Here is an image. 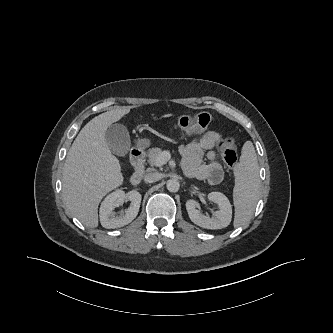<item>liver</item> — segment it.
Segmentation results:
<instances>
[{"mask_svg": "<svg viewBox=\"0 0 333 333\" xmlns=\"http://www.w3.org/2000/svg\"><path fill=\"white\" fill-rule=\"evenodd\" d=\"M130 112L117 107L90 120L79 132L63 167L62 191L68 210L84 225L98 226V205L102 198L122 185L119 160L111 153L107 128Z\"/></svg>", "mask_w": 333, "mask_h": 333, "instance_id": "obj_1", "label": "liver"}]
</instances>
